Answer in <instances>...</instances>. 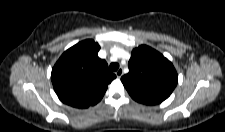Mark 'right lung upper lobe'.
<instances>
[{
	"mask_svg": "<svg viewBox=\"0 0 225 132\" xmlns=\"http://www.w3.org/2000/svg\"><path fill=\"white\" fill-rule=\"evenodd\" d=\"M100 46L91 39L66 50L52 69L51 80L59 99L72 107L97 104L108 84L116 78L105 60L98 57Z\"/></svg>",
	"mask_w": 225,
	"mask_h": 132,
	"instance_id": "1",
	"label": "right lung upper lobe"
}]
</instances>
